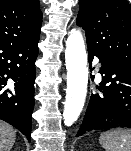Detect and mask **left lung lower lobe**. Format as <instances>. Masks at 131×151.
<instances>
[{
	"instance_id": "0a47b994",
	"label": "left lung lower lobe",
	"mask_w": 131,
	"mask_h": 151,
	"mask_svg": "<svg viewBox=\"0 0 131 151\" xmlns=\"http://www.w3.org/2000/svg\"><path fill=\"white\" fill-rule=\"evenodd\" d=\"M95 56L101 62L99 72L103 75L96 87L100 92L91 94L76 137L93 130L131 128V68L88 49L90 66Z\"/></svg>"
}]
</instances>
